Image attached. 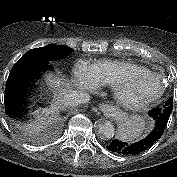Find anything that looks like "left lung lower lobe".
<instances>
[{"instance_id":"0a47b994","label":"left lung lower lobe","mask_w":177,"mask_h":177,"mask_svg":"<svg viewBox=\"0 0 177 177\" xmlns=\"http://www.w3.org/2000/svg\"><path fill=\"white\" fill-rule=\"evenodd\" d=\"M171 106L158 107L148 112L155 121L152 131L142 140L128 144L126 142L114 140L107 147L108 150L120 155H136L150 148L160 139L166 128L168 119L172 112Z\"/></svg>"}]
</instances>
